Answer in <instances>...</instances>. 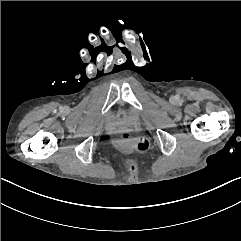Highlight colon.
<instances>
[{"label": "colon", "instance_id": "colon-1", "mask_svg": "<svg viewBox=\"0 0 241 241\" xmlns=\"http://www.w3.org/2000/svg\"><path fill=\"white\" fill-rule=\"evenodd\" d=\"M121 143L125 147L126 151L139 154L148 152L151 146L149 139L132 133H125L122 136Z\"/></svg>", "mask_w": 241, "mask_h": 241}]
</instances>
